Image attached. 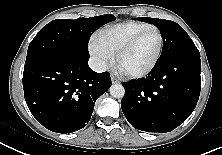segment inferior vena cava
<instances>
[{
	"label": "inferior vena cava",
	"instance_id": "1",
	"mask_svg": "<svg viewBox=\"0 0 222 155\" xmlns=\"http://www.w3.org/2000/svg\"><path fill=\"white\" fill-rule=\"evenodd\" d=\"M89 67L95 72H104L106 71V64L99 58L91 57L88 61Z\"/></svg>",
	"mask_w": 222,
	"mask_h": 155
}]
</instances>
